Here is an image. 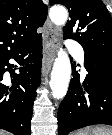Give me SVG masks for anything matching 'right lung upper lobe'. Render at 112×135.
Returning a JSON list of instances; mask_svg holds the SVG:
<instances>
[{
  "mask_svg": "<svg viewBox=\"0 0 112 135\" xmlns=\"http://www.w3.org/2000/svg\"><path fill=\"white\" fill-rule=\"evenodd\" d=\"M46 18L41 0H0V59L42 36Z\"/></svg>",
  "mask_w": 112,
  "mask_h": 135,
  "instance_id": "1",
  "label": "right lung upper lobe"
}]
</instances>
